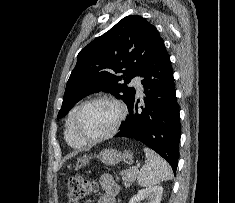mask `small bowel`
<instances>
[{
	"label": "small bowel",
	"instance_id": "obj_1",
	"mask_svg": "<svg viewBox=\"0 0 235 203\" xmlns=\"http://www.w3.org/2000/svg\"><path fill=\"white\" fill-rule=\"evenodd\" d=\"M103 194L99 197L98 203H116V196L119 186L111 175L105 174L100 178Z\"/></svg>",
	"mask_w": 235,
	"mask_h": 203
}]
</instances>
